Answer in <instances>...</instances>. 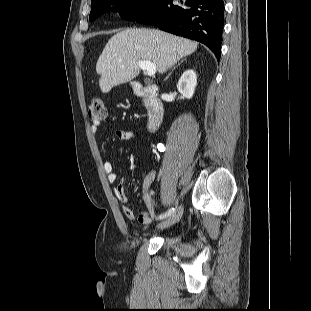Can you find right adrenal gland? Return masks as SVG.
Wrapping results in <instances>:
<instances>
[{"instance_id":"right-adrenal-gland-1","label":"right adrenal gland","mask_w":311,"mask_h":311,"mask_svg":"<svg viewBox=\"0 0 311 311\" xmlns=\"http://www.w3.org/2000/svg\"><path fill=\"white\" fill-rule=\"evenodd\" d=\"M184 60H185V59H184ZM184 60H181V61L172 69V71L169 73V75L165 78L164 81H167V80L169 79V77L171 76V74L173 73V71H174L178 66H180V64L183 63Z\"/></svg>"}]
</instances>
